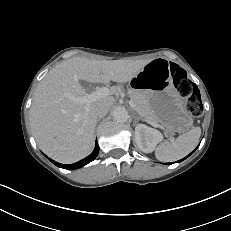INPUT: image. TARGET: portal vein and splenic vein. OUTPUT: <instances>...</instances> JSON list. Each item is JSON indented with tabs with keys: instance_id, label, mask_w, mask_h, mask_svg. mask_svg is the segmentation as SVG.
<instances>
[{
	"instance_id": "obj_1",
	"label": "portal vein and splenic vein",
	"mask_w": 231,
	"mask_h": 231,
	"mask_svg": "<svg viewBox=\"0 0 231 231\" xmlns=\"http://www.w3.org/2000/svg\"><path fill=\"white\" fill-rule=\"evenodd\" d=\"M109 92H110V90L108 88L101 87L98 90H96L95 92H92L91 94L83 95L80 97L69 96V98L73 102H75L76 104L89 105L90 103L107 96L109 94ZM129 104L133 109L137 110L136 105L132 101H130ZM147 122L154 127H160V125L155 123V122H152V121H147Z\"/></svg>"
}]
</instances>
